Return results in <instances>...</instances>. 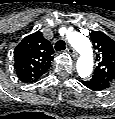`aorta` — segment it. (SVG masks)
I'll return each instance as SVG.
<instances>
[{"label":"aorta","instance_id":"aorta-1","mask_svg":"<svg viewBox=\"0 0 115 119\" xmlns=\"http://www.w3.org/2000/svg\"><path fill=\"white\" fill-rule=\"evenodd\" d=\"M68 42L80 54L77 60V72L85 78L90 76L93 70V50L91 42L79 32H70L67 35Z\"/></svg>","mask_w":115,"mask_h":119}]
</instances>
